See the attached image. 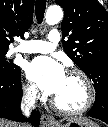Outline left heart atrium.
Returning <instances> with one entry per match:
<instances>
[{
  "mask_svg": "<svg viewBox=\"0 0 108 127\" xmlns=\"http://www.w3.org/2000/svg\"><path fill=\"white\" fill-rule=\"evenodd\" d=\"M28 76L45 93L55 95L61 88L66 74L63 67L48 57L34 59L28 66Z\"/></svg>",
  "mask_w": 108,
  "mask_h": 127,
  "instance_id": "left-heart-atrium-1",
  "label": "left heart atrium"
}]
</instances>
